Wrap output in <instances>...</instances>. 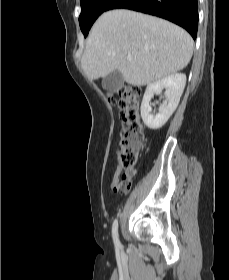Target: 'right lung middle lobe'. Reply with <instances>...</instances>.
Segmentation results:
<instances>
[{"mask_svg":"<svg viewBox=\"0 0 229 280\" xmlns=\"http://www.w3.org/2000/svg\"><path fill=\"white\" fill-rule=\"evenodd\" d=\"M113 0H80L81 14L79 17L80 28L86 37L92 24L100 14L107 10Z\"/></svg>","mask_w":229,"mask_h":280,"instance_id":"obj_1","label":"right lung middle lobe"}]
</instances>
